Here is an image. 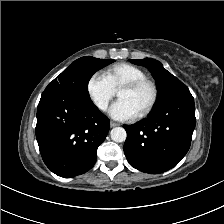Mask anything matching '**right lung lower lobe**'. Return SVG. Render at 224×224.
Returning <instances> with one entry per match:
<instances>
[{
  "label": "right lung lower lobe",
  "mask_w": 224,
  "mask_h": 224,
  "mask_svg": "<svg viewBox=\"0 0 224 224\" xmlns=\"http://www.w3.org/2000/svg\"><path fill=\"white\" fill-rule=\"evenodd\" d=\"M109 119L91 99L45 89L37 108L36 138L46 166L61 177L87 172L109 131Z\"/></svg>",
  "instance_id": "1"
}]
</instances>
